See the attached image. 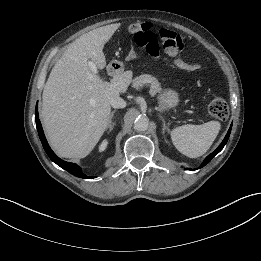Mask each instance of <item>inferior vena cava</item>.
<instances>
[{
	"instance_id": "1",
	"label": "inferior vena cava",
	"mask_w": 261,
	"mask_h": 261,
	"mask_svg": "<svg viewBox=\"0 0 261 261\" xmlns=\"http://www.w3.org/2000/svg\"><path fill=\"white\" fill-rule=\"evenodd\" d=\"M109 102L113 108H124L126 106V102L119 96L112 97Z\"/></svg>"
}]
</instances>
